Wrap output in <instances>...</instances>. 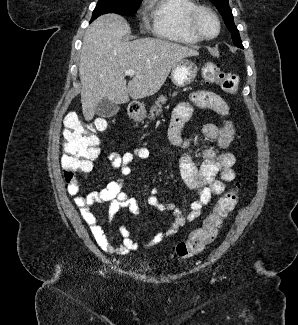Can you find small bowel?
I'll use <instances>...</instances> for the list:
<instances>
[{
  "instance_id": "c3829d8e",
  "label": "small bowel",
  "mask_w": 298,
  "mask_h": 325,
  "mask_svg": "<svg viewBox=\"0 0 298 325\" xmlns=\"http://www.w3.org/2000/svg\"><path fill=\"white\" fill-rule=\"evenodd\" d=\"M190 101L199 108L210 109L219 116L227 118L230 115L228 103L218 94L201 90L191 94ZM192 106L189 102L178 104L172 115L168 129L170 142L179 148L186 149L191 140L182 136V128L191 118ZM235 127L232 121L226 120L221 126L206 124L202 129V138L208 142H215L219 151L213 148L203 150V161L197 166L188 154H183L179 160L181 177L190 189L198 192V199L193 201L187 212L170 202H161L157 196V190L153 189L148 197V204L160 212H172L174 222L162 232H159L143 247L151 249L156 247L165 239L173 236L187 223L197 219L203 207L208 205L214 196L224 192L226 184L235 179V156L228 148L234 140ZM150 150L146 147H138L125 153H110L107 161L111 167L122 176L131 174L130 164L136 160H146L150 157ZM68 193L74 197V202L80 210L84 221L89 225L91 233L101 250L109 254L125 255L138 248V244L131 238L130 232L121 227L120 232L123 237L122 243L112 245L101 226L99 217L92 211V206L96 203H109L108 215L112 218L121 208H127L134 216H138L139 207L130 192L123 190V180L118 178L110 181L103 189L93 191L88 195L79 194L77 181L68 184Z\"/></svg>"
}]
</instances>
